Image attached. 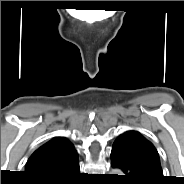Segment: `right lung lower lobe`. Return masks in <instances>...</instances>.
Listing matches in <instances>:
<instances>
[{"label": "right lung lower lobe", "instance_id": "98d812e1", "mask_svg": "<svg viewBox=\"0 0 184 184\" xmlns=\"http://www.w3.org/2000/svg\"><path fill=\"white\" fill-rule=\"evenodd\" d=\"M80 174L78 158L73 160L62 171L51 177L34 179L36 184H72L75 178Z\"/></svg>", "mask_w": 184, "mask_h": 184}]
</instances>
